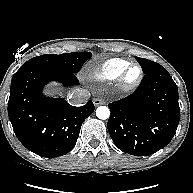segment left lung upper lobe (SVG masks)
<instances>
[{"label": "left lung upper lobe", "instance_id": "5c2ea615", "mask_svg": "<svg viewBox=\"0 0 193 193\" xmlns=\"http://www.w3.org/2000/svg\"><path fill=\"white\" fill-rule=\"evenodd\" d=\"M136 59L139 62V64L141 65V68H142L144 73L150 71L151 69H153L154 67L159 65L158 63L153 62V61L148 60V59L139 58V57H136Z\"/></svg>", "mask_w": 193, "mask_h": 193}]
</instances>
